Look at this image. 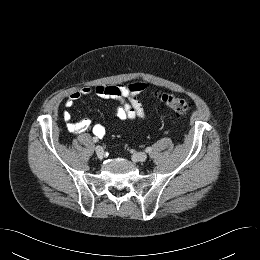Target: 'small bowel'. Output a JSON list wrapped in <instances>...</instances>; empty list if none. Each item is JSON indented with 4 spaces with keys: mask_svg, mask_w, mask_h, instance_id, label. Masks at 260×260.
Here are the masks:
<instances>
[{
    "mask_svg": "<svg viewBox=\"0 0 260 260\" xmlns=\"http://www.w3.org/2000/svg\"><path fill=\"white\" fill-rule=\"evenodd\" d=\"M148 85L144 82H134L131 84L115 83L110 85H98L94 88L84 86L73 91L65 100L66 108H71L74 103L83 96L95 94L103 99H112L120 103L114 115L117 119L125 121L132 119H145V106L138 100V95L145 91ZM63 119L67 129L73 134H81L92 130L95 138H103L107 134V129L102 124H92L90 120L72 121V115L68 110L63 112Z\"/></svg>",
    "mask_w": 260,
    "mask_h": 260,
    "instance_id": "obj_1",
    "label": "small bowel"
}]
</instances>
